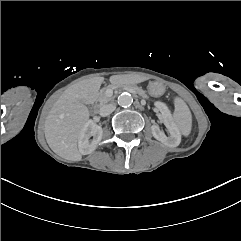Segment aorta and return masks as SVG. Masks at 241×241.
I'll list each match as a JSON object with an SVG mask.
<instances>
[{
    "instance_id": "762f6f07",
    "label": "aorta",
    "mask_w": 241,
    "mask_h": 241,
    "mask_svg": "<svg viewBox=\"0 0 241 241\" xmlns=\"http://www.w3.org/2000/svg\"><path fill=\"white\" fill-rule=\"evenodd\" d=\"M133 103V98L130 93L124 92L118 96V104L122 107H129Z\"/></svg>"
}]
</instances>
